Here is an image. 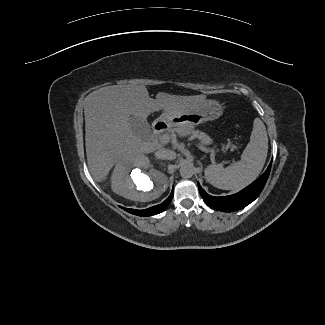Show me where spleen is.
Masks as SVG:
<instances>
[{
	"mask_svg": "<svg viewBox=\"0 0 325 325\" xmlns=\"http://www.w3.org/2000/svg\"><path fill=\"white\" fill-rule=\"evenodd\" d=\"M268 152V136L264 123L255 118L250 141L241 159L225 168L221 164L205 169V178L213 186L223 190H239L253 182L264 167Z\"/></svg>",
	"mask_w": 325,
	"mask_h": 325,
	"instance_id": "3e777b00",
	"label": "spleen"
}]
</instances>
